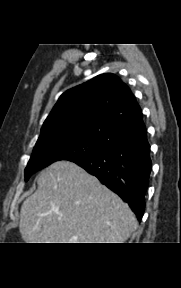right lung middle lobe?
Wrapping results in <instances>:
<instances>
[{"mask_svg":"<svg viewBox=\"0 0 181 288\" xmlns=\"http://www.w3.org/2000/svg\"><path fill=\"white\" fill-rule=\"evenodd\" d=\"M106 147L89 138L71 136L37 141L31 158L25 168V181L36 171L59 160H73L75 158L99 154Z\"/></svg>","mask_w":181,"mask_h":288,"instance_id":"1","label":"right lung middle lobe"}]
</instances>
